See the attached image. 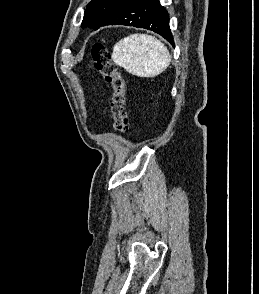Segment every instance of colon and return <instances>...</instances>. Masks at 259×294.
Here are the masks:
<instances>
[{"label":"colon","instance_id":"obj_1","mask_svg":"<svg viewBox=\"0 0 259 294\" xmlns=\"http://www.w3.org/2000/svg\"><path fill=\"white\" fill-rule=\"evenodd\" d=\"M92 59L96 70L102 75L113 91L111 99V112L113 116V128L118 133H125L128 129V117L125 111V81L113 62L110 53L101 43L92 46Z\"/></svg>","mask_w":259,"mask_h":294}]
</instances>
